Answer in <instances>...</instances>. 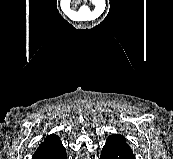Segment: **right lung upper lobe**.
Instances as JSON below:
<instances>
[{
	"label": "right lung upper lobe",
	"mask_w": 173,
	"mask_h": 159,
	"mask_svg": "<svg viewBox=\"0 0 173 159\" xmlns=\"http://www.w3.org/2000/svg\"><path fill=\"white\" fill-rule=\"evenodd\" d=\"M65 149L60 138L54 134L47 136L34 153L32 159H45L50 155Z\"/></svg>",
	"instance_id": "1"
}]
</instances>
